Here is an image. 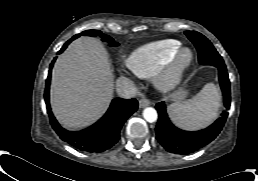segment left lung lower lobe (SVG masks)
I'll list each match as a JSON object with an SVG mask.
<instances>
[{
    "mask_svg": "<svg viewBox=\"0 0 258 181\" xmlns=\"http://www.w3.org/2000/svg\"><path fill=\"white\" fill-rule=\"evenodd\" d=\"M219 70V82L224 96V105L228 110L230 107V81L226 66H217ZM158 111V122L156 126V138L159 143L169 152L175 154L193 153L214 140L222 130L227 112H223L211 126L206 129L188 132L176 128L169 120L164 102L156 105Z\"/></svg>",
    "mask_w": 258,
    "mask_h": 181,
    "instance_id": "left-lung-lower-lobe-1",
    "label": "left lung lower lobe"
}]
</instances>
